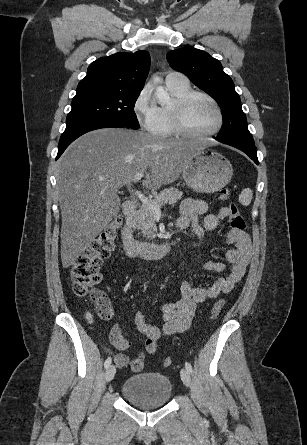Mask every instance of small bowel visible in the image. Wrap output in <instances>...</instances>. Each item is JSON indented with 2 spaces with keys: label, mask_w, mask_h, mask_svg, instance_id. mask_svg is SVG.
I'll return each mask as SVG.
<instances>
[{
  "label": "small bowel",
  "mask_w": 307,
  "mask_h": 445,
  "mask_svg": "<svg viewBox=\"0 0 307 445\" xmlns=\"http://www.w3.org/2000/svg\"><path fill=\"white\" fill-rule=\"evenodd\" d=\"M229 215L228 207H222L216 213H208V207L203 201L185 199L180 206V217L177 220V226L181 229L190 228L197 238V241L193 244L199 246L206 233L219 227ZM200 217H203L202 222L199 221ZM224 242L233 246L226 253V259L230 264L229 270L225 273L226 266L223 263L206 261L203 264L204 269L215 271L219 275L215 281L194 286L189 280H184L181 283V298L175 302L164 303L161 306V317L165 321L164 335L186 331L190 327L200 304L208 299H215L220 294L230 292L244 277L252 256V245L249 236L244 231L232 228L225 235ZM134 324L138 332L144 336V350L134 358L120 352L114 355V360L118 367L129 365L134 372H140L145 365V353L155 354L161 332L157 327L148 324L141 313L135 315ZM115 347L124 351L129 347V341L125 339L123 345Z\"/></svg>",
  "instance_id": "small-bowel-1"
}]
</instances>
